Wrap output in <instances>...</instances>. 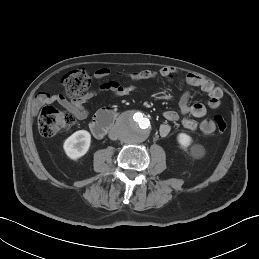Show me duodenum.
<instances>
[{
  "mask_svg": "<svg viewBox=\"0 0 259 259\" xmlns=\"http://www.w3.org/2000/svg\"><path fill=\"white\" fill-rule=\"evenodd\" d=\"M115 119L116 113L113 110L99 111L90 125L92 134L97 138L102 137L113 126Z\"/></svg>",
  "mask_w": 259,
  "mask_h": 259,
  "instance_id": "1",
  "label": "duodenum"
}]
</instances>
